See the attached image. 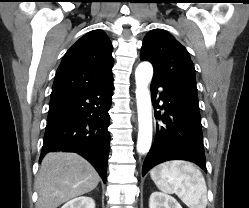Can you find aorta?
I'll return each mask as SVG.
<instances>
[{
  "label": "aorta",
  "mask_w": 249,
  "mask_h": 208,
  "mask_svg": "<svg viewBox=\"0 0 249 208\" xmlns=\"http://www.w3.org/2000/svg\"><path fill=\"white\" fill-rule=\"evenodd\" d=\"M152 76L153 67L149 62H142L136 68V101L139 122L137 151L141 154L149 151L152 142V105L148 90Z\"/></svg>",
  "instance_id": "762f6f07"
}]
</instances>
